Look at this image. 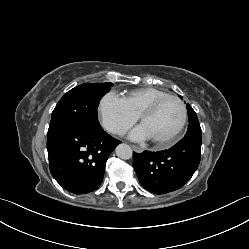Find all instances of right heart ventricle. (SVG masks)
Listing matches in <instances>:
<instances>
[{"label":"right heart ventricle","instance_id":"right-heart-ventricle-1","mask_svg":"<svg viewBox=\"0 0 249 249\" xmlns=\"http://www.w3.org/2000/svg\"><path fill=\"white\" fill-rule=\"evenodd\" d=\"M166 92L156 88H138L122 94L121 98L129 110L137 116L143 108L153 101L167 96Z\"/></svg>","mask_w":249,"mask_h":249}]
</instances>
